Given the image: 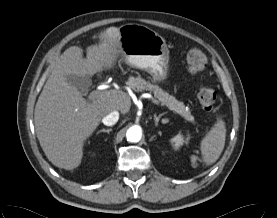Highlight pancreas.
<instances>
[{
  "label": "pancreas",
  "instance_id": "cf45deb5",
  "mask_svg": "<svg viewBox=\"0 0 277 218\" xmlns=\"http://www.w3.org/2000/svg\"><path fill=\"white\" fill-rule=\"evenodd\" d=\"M126 84L135 92L149 91L159 100L161 105L166 106L169 110H172L183 117L186 121L194 123V117L191 115L188 107L183 102L176 100L175 97L169 95L163 91L159 86L151 84L149 81L144 80L141 77H129Z\"/></svg>",
  "mask_w": 277,
  "mask_h": 218
}]
</instances>
